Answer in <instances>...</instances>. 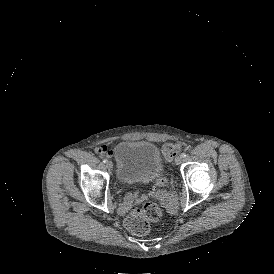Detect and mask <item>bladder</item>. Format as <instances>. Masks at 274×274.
Wrapping results in <instances>:
<instances>
[{"label":"bladder","mask_w":274,"mask_h":274,"mask_svg":"<svg viewBox=\"0 0 274 274\" xmlns=\"http://www.w3.org/2000/svg\"><path fill=\"white\" fill-rule=\"evenodd\" d=\"M116 178L121 182L147 180L160 175L166 163L157 145L147 140H125L113 149Z\"/></svg>","instance_id":"obj_1"}]
</instances>
